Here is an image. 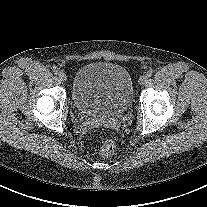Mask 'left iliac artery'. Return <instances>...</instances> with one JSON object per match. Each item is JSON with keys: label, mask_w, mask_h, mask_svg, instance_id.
<instances>
[{"label": "left iliac artery", "mask_w": 207, "mask_h": 207, "mask_svg": "<svg viewBox=\"0 0 207 207\" xmlns=\"http://www.w3.org/2000/svg\"><path fill=\"white\" fill-rule=\"evenodd\" d=\"M152 74H153V72H152V71H147V72H146V76H147V77H151V76H152Z\"/></svg>", "instance_id": "left-iliac-artery-1"}]
</instances>
